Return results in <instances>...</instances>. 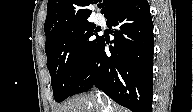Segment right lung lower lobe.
<instances>
[{"mask_svg":"<svg viewBox=\"0 0 193 112\" xmlns=\"http://www.w3.org/2000/svg\"><path fill=\"white\" fill-rule=\"evenodd\" d=\"M107 24L116 27L111 56L103 39L70 96L96 86L133 112H152L154 40L147 0H131Z\"/></svg>","mask_w":193,"mask_h":112,"instance_id":"obj_1","label":"right lung lower lobe"}]
</instances>
